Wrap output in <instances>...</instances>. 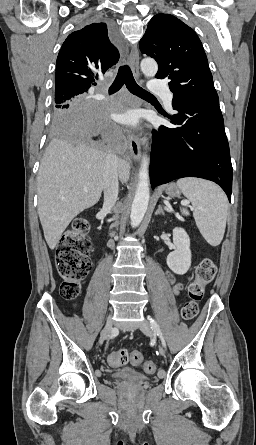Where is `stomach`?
I'll return each instance as SVG.
<instances>
[{"mask_svg": "<svg viewBox=\"0 0 256 445\" xmlns=\"http://www.w3.org/2000/svg\"><path fill=\"white\" fill-rule=\"evenodd\" d=\"M165 192L169 197H178L181 194V189L175 183H170L166 186Z\"/></svg>", "mask_w": 256, "mask_h": 445, "instance_id": "stomach-1", "label": "stomach"}]
</instances>
